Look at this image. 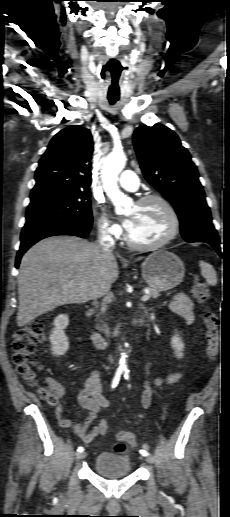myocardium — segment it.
Here are the masks:
<instances>
[{
    "label": "myocardium",
    "instance_id": "myocardium-1",
    "mask_svg": "<svg viewBox=\"0 0 230 517\" xmlns=\"http://www.w3.org/2000/svg\"><path fill=\"white\" fill-rule=\"evenodd\" d=\"M154 201L160 203L163 206V208L166 210V212L169 216V219H170L169 230L163 238H161L158 241L151 242V243H140V242L133 240V238L130 236V234L127 230L124 238H125L126 243L132 248H135L138 250L158 249V248H161V247L167 245L168 243H170L179 233L180 218H179L175 208L173 207V205L162 195H159V194L146 195V196L140 198L137 201L136 205L142 206L147 203L154 202Z\"/></svg>",
    "mask_w": 230,
    "mask_h": 517
}]
</instances>
